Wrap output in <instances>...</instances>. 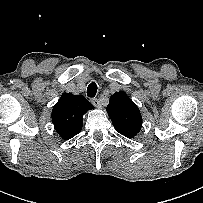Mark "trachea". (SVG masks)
Here are the masks:
<instances>
[{"instance_id": "trachea-1", "label": "trachea", "mask_w": 203, "mask_h": 203, "mask_svg": "<svg viewBox=\"0 0 203 203\" xmlns=\"http://www.w3.org/2000/svg\"><path fill=\"white\" fill-rule=\"evenodd\" d=\"M97 93V85L96 83L92 82L89 84L88 88H87V95L89 97H94Z\"/></svg>"}]
</instances>
